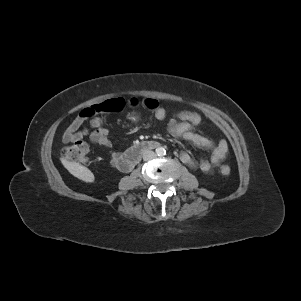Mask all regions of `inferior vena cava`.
Wrapping results in <instances>:
<instances>
[{
    "instance_id": "obj_1",
    "label": "inferior vena cava",
    "mask_w": 301,
    "mask_h": 301,
    "mask_svg": "<svg viewBox=\"0 0 301 301\" xmlns=\"http://www.w3.org/2000/svg\"><path fill=\"white\" fill-rule=\"evenodd\" d=\"M156 157V154L151 151V150H147L143 153V160L144 161H149V160H152Z\"/></svg>"
}]
</instances>
